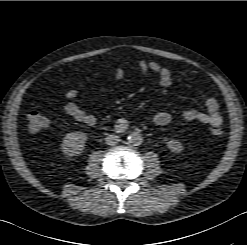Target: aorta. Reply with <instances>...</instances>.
<instances>
[{
    "label": "aorta",
    "mask_w": 247,
    "mask_h": 245,
    "mask_svg": "<svg viewBox=\"0 0 247 245\" xmlns=\"http://www.w3.org/2000/svg\"><path fill=\"white\" fill-rule=\"evenodd\" d=\"M128 141L134 146H139L143 142V136L140 132H132L128 135Z\"/></svg>",
    "instance_id": "aorta-1"
}]
</instances>
